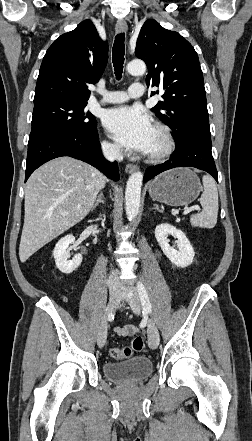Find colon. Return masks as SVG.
Wrapping results in <instances>:
<instances>
[{"label": "colon", "instance_id": "obj_1", "mask_svg": "<svg viewBox=\"0 0 252 441\" xmlns=\"http://www.w3.org/2000/svg\"><path fill=\"white\" fill-rule=\"evenodd\" d=\"M144 347L143 338L140 336L135 337L131 345L123 348H113L110 351V355L114 359H124L132 356L136 352H140Z\"/></svg>", "mask_w": 252, "mask_h": 441}]
</instances>
